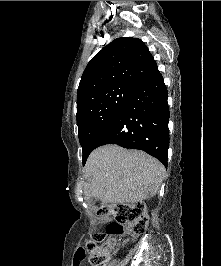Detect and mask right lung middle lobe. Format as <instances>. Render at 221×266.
Segmentation results:
<instances>
[{
    "mask_svg": "<svg viewBox=\"0 0 221 266\" xmlns=\"http://www.w3.org/2000/svg\"><path fill=\"white\" fill-rule=\"evenodd\" d=\"M135 89V86L118 85L96 90L77 104L78 136L83 150V164Z\"/></svg>",
    "mask_w": 221,
    "mask_h": 266,
    "instance_id": "dd1d6c3e",
    "label": "right lung middle lobe"
}]
</instances>
